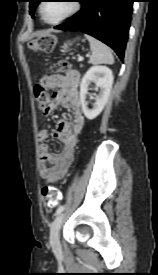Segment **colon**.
Masks as SVG:
<instances>
[{"instance_id":"1","label":"colon","mask_w":158,"mask_h":275,"mask_svg":"<svg viewBox=\"0 0 158 275\" xmlns=\"http://www.w3.org/2000/svg\"><path fill=\"white\" fill-rule=\"evenodd\" d=\"M55 45V36L52 34H44L30 41L29 48L36 53H49L54 50ZM68 67V62L63 60L56 63L53 66V70L61 71ZM35 97L39 111L44 115L49 114L55 100V94L49 91L43 84H38L35 87ZM41 197L44 204L48 207H56L61 201L59 189L52 185H44L42 187Z\"/></svg>"}]
</instances>
